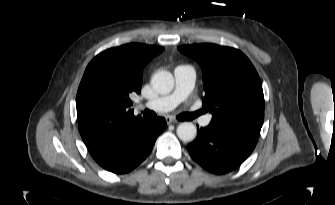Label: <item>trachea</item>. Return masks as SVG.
Returning a JSON list of instances; mask_svg holds the SVG:
<instances>
[{
  "instance_id": "3493384b",
  "label": "trachea",
  "mask_w": 335,
  "mask_h": 205,
  "mask_svg": "<svg viewBox=\"0 0 335 205\" xmlns=\"http://www.w3.org/2000/svg\"><path fill=\"white\" fill-rule=\"evenodd\" d=\"M201 112H197V113H194V114H188V113H185V114H180L179 116H177V118L179 120H192L193 118H195L196 116H198ZM143 116L145 118H153V117H156V113L153 112V111H150V110H145L143 112Z\"/></svg>"
}]
</instances>
